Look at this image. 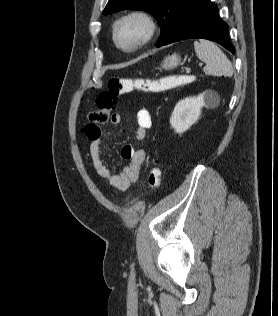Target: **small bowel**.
I'll return each instance as SVG.
<instances>
[{
  "label": "small bowel",
  "mask_w": 278,
  "mask_h": 316,
  "mask_svg": "<svg viewBox=\"0 0 278 316\" xmlns=\"http://www.w3.org/2000/svg\"><path fill=\"white\" fill-rule=\"evenodd\" d=\"M122 115L118 112L111 114L110 122L114 125L120 124ZM137 129L135 137L137 140H143L152 126V118L147 108H141L136 114ZM85 135L91 141L90 156L93 166L97 174L105 180L111 187L120 191L127 190L133 183L140 178L142 166L146 160V153L144 150L136 149L132 145H125L121 149L123 158L130 160V163L122 170V172H115L102 159V151L104 147V140L101 137L100 128L97 132L91 134L85 129Z\"/></svg>",
  "instance_id": "obj_1"
}]
</instances>
